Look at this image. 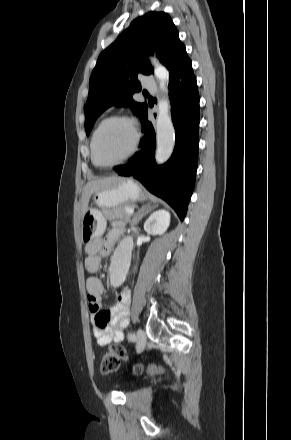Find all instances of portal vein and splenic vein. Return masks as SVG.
Segmentation results:
<instances>
[{
  "instance_id": "obj_1",
  "label": "portal vein and splenic vein",
  "mask_w": 291,
  "mask_h": 440,
  "mask_svg": "<svg viewBox=\"0 0 291 440\" xmlns=\"http://www.w3.org/2000/svg\"><path fill=\"white\" fill-rule=\"evenodd\" d=\"M125 211H126L128 214H130V215H132V214L134 213V209L129 208V207H126V208H125Z\"/></svg>"
}]
</instances>
